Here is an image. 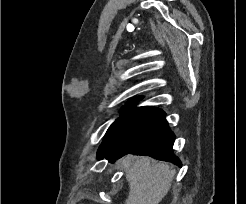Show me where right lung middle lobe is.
Wrapping results in <instances>:
<instances>
[{
    "instance_id": "right-lung-middle-lobe-1",
    "label": "right lung middle lobe",
    "mask_w": 246,
    "mask_h": 204,
    "mask_svg": "<svg viewBox=\"0 0 246 204\" xmlns=\"http://www.w3.org/2000/svg\"><path fill=\"white\" fill-rule=\"evenodd\" d=\"M135 103L134 101H129L127 102V105L123 107L122 111H125L129 105ZM127 113H124L123 115H121L107 130L103 142L101 144V146L99 147L98 153H97V157H102L104 156L112 147L113 143L116 140L117 134L120 130L121 124L125 118Z\"/></svg>"
}]
</instances>
